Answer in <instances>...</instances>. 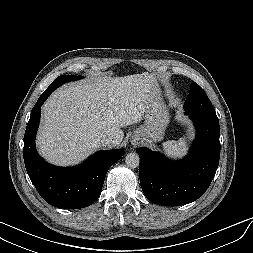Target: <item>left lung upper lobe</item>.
<instances>
[{
    "label": "left lung upper lobe",
    "instance_id": "left-lung-upper-lobe-1",
    "mask_svg": "<svg viewBox=\"0 0 253 253\" xmlns=\"http://www.w3.org/2000/svg\"><path fill=\"white\" fill-rule=\"evenodd\" d=\"M186 112L203 111L215 112L209 98L203 89L195 82H192L189 96L184 104Z\"/></svg>",
    "mask_w": 253,
    "mask_h": 253
}]
</instances>
